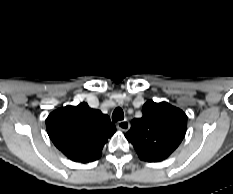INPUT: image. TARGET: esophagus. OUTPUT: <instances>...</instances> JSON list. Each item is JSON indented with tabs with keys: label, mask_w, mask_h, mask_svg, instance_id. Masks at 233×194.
Wrapping results in <instances>:
<instances>
[{
	"label": "esophagus",
	"mask_w": 233,
	"mask_h": 194,
	"mask_svg": "<svg viewBox=\"0 0 233 194\" xmlns=\"http://www.w3.org/2000/svg\"><path fill=\"white\" fill-rule=\"evenodd\" d=\"M118 129L126 132L130 129V123L128 120H122L117 123Z\"/></svg>",
	"instance_id": "1"
}]
</instances>
